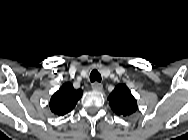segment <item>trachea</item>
<instances>
[{"label":"trachea","mask_w":188,"mask_h":140,"mask_svg":"<svg viewBox=\"0 0 188 140\" xmlns=\"http://www.w3.org/2000/svg\"><path fill=\"white\" fill-rule=\"evenodd\" d=\"M90 81L91 82H101V75L97 70H93L90 74Z\"/></svg>","instance_id":"trachea-1"}]
</instances>
